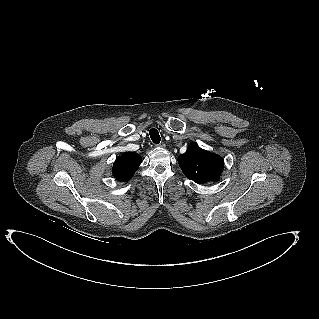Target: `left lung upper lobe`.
I'll return each mask as SVG.
<instances>
[{"label": "left lung upper lobe", "mask_w": 319, "mask_h": 319, "mask_svg": "<svg viewBox=\"0 0 319 319\" xmlns=\"http://www.w3.org/2000/svg\"><path fill=\"white\" fill-rule=\"evenodd\" d=\"M178 163L184 175L198 184L217 181L224 166L221 156L203 150L195 143L178 156Z\"/></svg>", "instance_id": "5c2ea615"}]
</instances>
